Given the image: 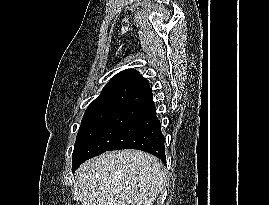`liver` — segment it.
Listing matches in <instances>:
<instances>
[{"instance_id":"liver-1","label":"liver","mask_w":269,"mask_h":205,"mask_svg":"<svg viewBox=\"0 0 269 205\" xmlns=\"http://www.w3.org/2000/svg\"><path fill=\"white\" fill-rule=\"evenodd\" d=\"M164 178L156 157L127 149L88 160L76 183L83 205H152Z\"/></svg>"}]
</instances>
